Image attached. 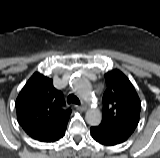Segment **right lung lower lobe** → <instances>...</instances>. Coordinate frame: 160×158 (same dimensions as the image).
<instances>
[{
  "instance_id": "98d812e1",
  "label": "right lung lower lobe",
  "mask_w": 160,
  "mask_h": 158,
  "mask_svg": "<svg viewBox=\"0 0 160 158\" xmlns=\"http://www.w3.org/2000/svg\"><path fill=\"white\" fill-rule=\"evenodd\" d=\"M65 130H66V128H65L60 134H58L57 136L49 139V140L46 141V142H55V141L59 140L60 138H62V137L64 136Z\"/></svg>"
}]
</instances>
